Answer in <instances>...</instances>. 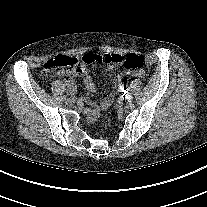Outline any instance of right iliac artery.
<instances>
[{
	"label": "right iliac artery",
	"instance_id": "82829eb1",
	"mask_svg": "<svg viewBox=\"0 0 207 207\" xmlns=\"http://www.w3.org/2000/svg\"><path fill=\"white\" fill-rule=\"evenodd\" d=\"M62 99L66 100V96L64 95V96L62 97Z\"/></svg>",
	"mask_w": 207,
	"mask_h": 207
}]
</instances>
